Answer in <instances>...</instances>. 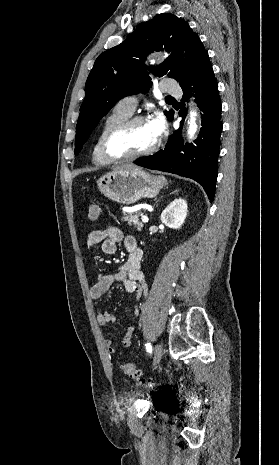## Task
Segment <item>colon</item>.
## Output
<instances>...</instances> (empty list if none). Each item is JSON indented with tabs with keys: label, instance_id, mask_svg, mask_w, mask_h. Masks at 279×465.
I'll list each match as a JSON object with an SVG mask.
<instances>
[{
	"label": "colon",
	"instance_id": "colon-1",
	"mask_svg": "<svg viewBox=\"0 0 279 465\" xmlns=\"http://www.w3.org/2000/svg\"><path fill=\"white\" fill-rule=\"evenodd\" d=\"M88 215L91 220H97L101 215V207L98 203H90L88 206ZM122 370L125 375L134 380H142L141 372L131 362H124Z\"/></svg>",
	"mask_w": 279,
	"mask_h": 465
}]
</instances>
